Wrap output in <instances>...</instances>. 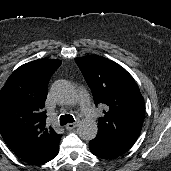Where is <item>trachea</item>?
<instances>
[{
  "mask_svg": "<svg viewBox=\"0 0 171 171\" xmlns=\"http://www.w3.org/2000/svg\"><path fill=\"white\" fill-rule=\"evenodd\" d=\"M60 125L63 126V125H66L67 123H72L74 122V118L72 115H61L60 116Z\"/></svg>",
  "mask_w": 171,
  "mask_h": 171,
  "instance_id": "3493384b",
  "label": "trachea"
}]
</instances>
